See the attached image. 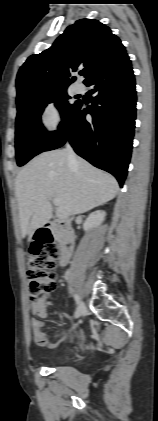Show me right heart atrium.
Instances as JSON below:
<instances>
[{
    "instance_id": "d8ad5b80",
    "label": "right heart atrium",
    "mask_w": 158,
    "mask_h": 421,
    "mask_svg": "<svg viewBox=\"0 0 158 421\" xmlns=\"http://www.w3.org/2000/svg\"><path fill=\"white\" fill-rule=\"evenodd\" d=\"M63 116L60 106L56 101L44 104L40 111V124L47 132L58 130L62 124Z\"/></svg>"
}]
</instances>
